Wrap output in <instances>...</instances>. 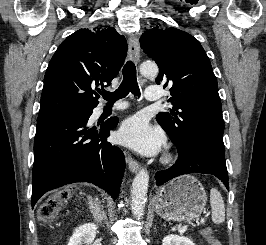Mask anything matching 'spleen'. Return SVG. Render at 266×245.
Returning <instances> with one entry per match:
<instances>
[{
	"label": "spleen",
	"mask_w": 266,
	"mask_h": 245,
	"mask_svg": "<svg viewBox=\"0 0 266 245\" xmlns=\"http://www.w3.org/2000/svg\"><path fill=\"white\" fill-rule=\"evenodd\" d=\"M210 205L212 209V221L221 225L225 221V207L224 201L217 189H211L210 191Z\"/></svg>",
	"instance_id": "spleen-1"
}]
</instances>
